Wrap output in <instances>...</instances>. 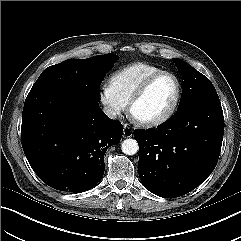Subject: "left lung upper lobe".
<instances>
[{
    "label": "left lung upper lobe",
    "mask_w": 241,
    "mask_h": 241,
    "mask_svg": "<svg viewBox=\"0 0 241 241\" xmlns=\"http://www.w3.org/2000/svg\"><path fill=\"white\" fill-rule=\"evenodd\" d=\"M182 81V95L177 110L196 104L221 105L210 80L180 59H173Z\"/></svg>",
    "instance_id": "5c2ea615"
}]
</instances>
